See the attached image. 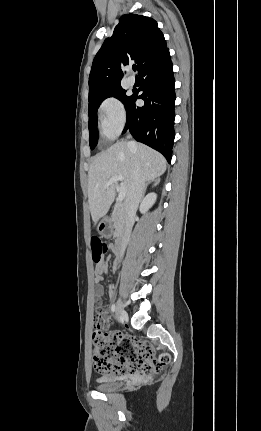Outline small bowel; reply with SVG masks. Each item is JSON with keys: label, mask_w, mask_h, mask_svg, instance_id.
Returning a JSON list of instances; mask_svg holds the SVG:
<instances>
[{"label": "small bowel", "mask_w": 261, "mask_h": 431, "mask_svg": "<svg viewBox=\"0 0 261 431\" xmlns=\"http://www.w3.org/2000/svg\"><path fill=\"white\" fill-rule=\"evenodd\" d=\"M108 272V265L105 261L98 264L95 268L94 281L96 283L95 296L98 304H100L102 297L104 295V288L101 285L104 275ZM99 319H102L103 327L107 328L109 326V312L106 308L99 306V311L96 313Z\"/></svg>", "instance_id": "small-bowel-1"}]
</instances>
